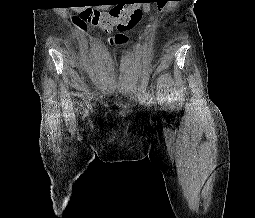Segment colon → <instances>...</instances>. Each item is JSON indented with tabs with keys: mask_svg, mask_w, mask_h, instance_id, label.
I'll list each match as a JSON object with an SVG mask.
<instances>
[{
	"mask_svg": "<svg viewBox=\"0 0 255 218\" xmlns=\"http://www.w3.org/2000/svg\"><path fill=\"white\" fill-rule=\"evenodd\" d=\"M136 3L138 1H130L116 6L109 11L85 9L76 17V21L79 24L87 23L99 27L104 31L116 29L118 34L111 40V43L120 46L127 45L130 43V38L125 32L136 27L143 16L142 10ZM145 31L146 28L141 32V35Z\"/></svg>",
	"mask_w": 255,
	"mask_h": 218,
	"instance_id": "5ec220e1",
	"label": "colon"
}]
</instances>
